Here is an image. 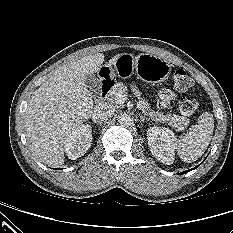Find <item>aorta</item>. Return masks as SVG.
I'll use <instances>...</instances> for the list:
<instances>
[{
  "label": "aorta",
  "mask_w": 233,
  "mask_h": 233,
  "mask_svg": "<svg viewBox=\"0 0 233 233\" xmlns=\"http://www.w3.org/2000/svg\"><path fill=\"white\" fill-rule=\"evenodd\" d=\"M132 118L127 113H122L118 116V122L123 126H129L132 123Z\"/></svg>",
  "instance_id": "1"
}]
</instances>
